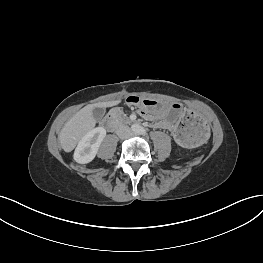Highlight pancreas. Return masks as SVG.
Listing matches in <instances>:
<instances>
[{"mask_svg": "<svg viewBox=\"0 0 263 263\" xmlns=\"http://www.w3.org/2000/svg\"><path fill=\"white\" fill-rule=\"evenodd\" d=\"M111 116L117 124H121L124 122L127 123L129 121L128 118L125 115H123L121 112H119L118 110H113L111 112Z\"/></svg>", "mask_w": 263, "mask_h": 263, "instance_id": "cf45deb5", "label": "pancreas"}]
</instances>
